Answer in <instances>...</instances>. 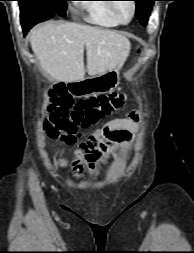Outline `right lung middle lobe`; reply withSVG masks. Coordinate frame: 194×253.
I'll return each instance as SVG.
<instances>
[{"mask_svg": "<svg viewBox=\"0 0 194 253\" xmlns=\"http://www.w3.org/2000/svg\"><path fill=\"white\" fill-rule=\"evenodd\" d=\"M20 6L21 21L32 23L50 19L55 15L64 17L66 15L69 0H17Z\"/></svg>", "mask_w": 194, "mask_h": 253, "instance_id": "obj_1", "label": "right lung middle lobe"}]
</instances>
